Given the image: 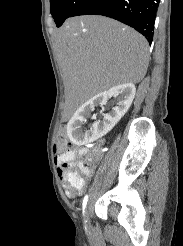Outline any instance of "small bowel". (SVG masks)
<instances>
[{
  "label": "small bowel",
  "instance_id": "c3829d8e",
  "mask_svg": "<svg viewBox=\"0 0 183 246\" xmlns=\"http://www.w3.org/2000/svg\"><path fill=\"white\" fill-rule=\"evenodd\" d=\"M86 151L87 150L85 148H82V149L79 150V154L80 155L85 154ZM75 155H76V152L74 150H69L66 154H64L62 156H59L56 159V162H57V165H58V175H59L60 179L62 180V182L64 183V186H65L67 192L69 194H71V195H73V193L69 189L67 174L61 168V165H62L63 162H70V161H72L75 158ZM82 188H83V186H82ZM82 188L77 193H75V194L80 193L82 191Z\"/></svg>",
  "mask_w": 183,
  "mask_h": 246
}]
</instances>
